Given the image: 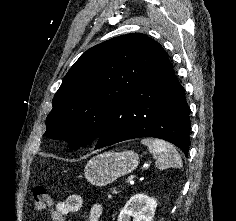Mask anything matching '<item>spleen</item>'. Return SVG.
I'll return each mask as SVG.
<instances>
[{
	"mask_svg": "<svg viewBox=\"0 0 236 221\" xmlns=\"http://www.w3.org/2000/svg\"><path fill=\"white\" fill-rule=\"evenodd\" d=\"M141 143L146 145L149 152L156 157L155 164L158 169L182 167L180 154L169 142L157 138H144Z\"/></svg>",
	"mask_w": 236,
	"mask_h": 221,
	"instance_id": "1",
	"label": "spleen"
}]
</instances>
